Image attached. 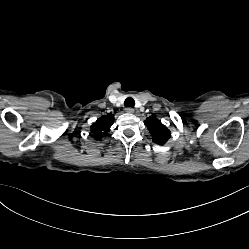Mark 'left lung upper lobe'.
Masks as SVG:
<instances>
[{
    "label": "left lung upper lobe",
    "instance_id": "obj_1",
    "mask_svg": "<svg viewBox=\"0 0 249 249\" xmlns=\"http://www.w3.org/2000/svg\"><path fill=\"white\" fill-rule=\"evenodd\" d=\"M145 124L149 129L153 142L163 145L171 137L170 131L157 118L151 116L146 119Z\"/></svg>",
    "mask_w": 249,
    "mask_h": 249
}]
</instances>
